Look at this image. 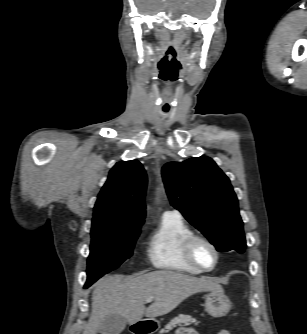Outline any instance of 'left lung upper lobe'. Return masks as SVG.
<instances>
[{
    "instance_id": "1",
    "label": "left lung upper lobe",
    "mask_w": 307,
    "mask_h": 334,
    "mask_svg": "<svg viewBox=\"0 0 307 334\" xmlns=\"http://www.w3.org/2000/svg\"><path fill=\"white\" fill-rule=\"evenodd\" d=\"M162 176L171 204L219 252L243 253L246 240L236 194L229 178L211 158L169 162Z\"/></svg>"
}]
</instances>
